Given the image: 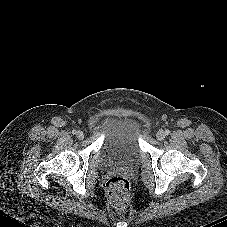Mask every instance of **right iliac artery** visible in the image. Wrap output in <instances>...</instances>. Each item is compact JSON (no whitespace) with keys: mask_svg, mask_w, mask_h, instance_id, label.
Masks as SVG:
<instances>
[{"mask_svg":"<svg viewBox=\"0 0 227 227\" xmlns=\"http://www.w3.org/2000/svg\"><path fill=\"white\" fill-rule=\"evenodd\" d=\"M72 133H73V134H76V133H77V131H76V130H73V131H72Z\"/></svg>","mask_w":227,"mask_h":227,"instance_id":"right-iliac-artery-1","label":"right iliac artery"}]
</instances>
